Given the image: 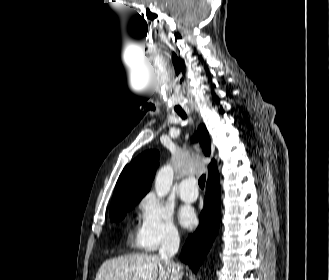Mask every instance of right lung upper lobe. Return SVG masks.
Returning <instances> with one entry per match:
<instances>
[{"mask_svg":"<svg viewBox=\"0 0 329 280\" xmlns=\"http://www.w3.org/2000/svg\"><path fill=\"white\" fill-rule=\"evenodd\" d=\"M195 139L199 140L204 154L209 155L210 139L204 125L199 127ZM158 160V151L148 150L125 166L116 183L111 208L124 200L142 199L146 195L150 190L151 182L158 166ZM216 172V162L212 160L208 166V178Z\"/></svg>","mask_w":329,"mask_h":280,"instance_id":"obj_1","label":"right lung upper lobe"}]
</instances>
